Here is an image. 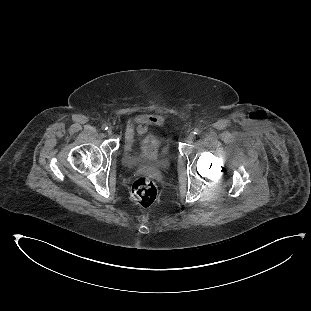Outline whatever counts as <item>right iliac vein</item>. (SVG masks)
Segmentation results:
<instances>
[{"label":"right iliac vein","mask_w":311,"mask_h":311,"mask_svg":"<svg viewBox=\"0 0 311 311\" xmlns=\"http://www.w3.org/2000/svg\"><path fill=\"white\" fill-rule=\"evenodd\" d=\"M107 134H108V135H111V134H112V129H111V128H109V129L107 130Z\"/></svg>","instance_id":"63e3f726"}]
</instances>
